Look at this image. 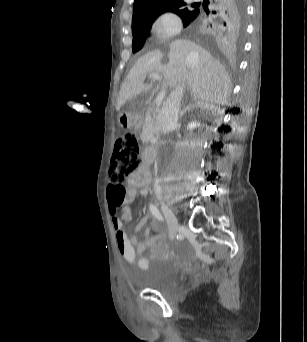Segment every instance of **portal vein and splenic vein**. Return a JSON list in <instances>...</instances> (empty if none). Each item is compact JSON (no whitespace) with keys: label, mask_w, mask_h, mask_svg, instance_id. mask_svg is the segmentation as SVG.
I'll return each instance as SVG.
<instances>
[{"label":"portal vein and splenic vein","mask_w":307,"mask_h":342,"mask_svg":"<svg viewBox=\"0 0 307 342\" xmlns=\"http://www.w3.org/2000/svg\"><path fill=\"white\" fill-rule=\"evenodd\" d=\"M149 78H152V80L163 81V78H161L159 74H149ZM159 90V93L156 95V98L153 101L155 105H160L161 102L165 100V96L167 94L166 92L168 89L166 86H161Z\"/></svg>","instance_id":"portal-vein-and-splenic-vein-1"}]
</instances>
